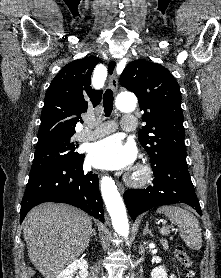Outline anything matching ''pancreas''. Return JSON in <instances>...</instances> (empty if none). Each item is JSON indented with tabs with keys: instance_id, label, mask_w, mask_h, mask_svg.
<instances>
[{
	"instance_id": "1",
	"label": "pancreas",
	"mask_w": 221,
	"mask_h": 278,
	"mask_svg": "<svg viewBox=\"0 0 221 278\" xmlns=\"http://www.w3.org/2000/svg\"><path fill=\"white\" fill-rule=\"evenodd\" d=\"M160 242H161L162 246L164 247V249L168 248V242L166 240L161 239Z\"/></svg>"
}]
</instances>
